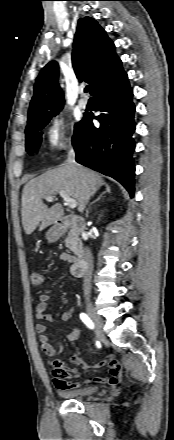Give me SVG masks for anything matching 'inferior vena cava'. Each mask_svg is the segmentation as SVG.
I'll return each instance as SVG.
<instances>
[{"instance_id":"inferior-vena-cava-1","label":"inferior vena cava","mask_w":174,"mask_h":440,"mask_svg":"<svg viewBox=\"0 0 174 440\" xmlns=\"http://www.w3.org/2000/svg\"><path fill=\"white\" fill-rule=\"evenodd\" d=\"M67 161H68V163H75V151L72 147L70 148V150L68 152ZM84 256H85V260L87 263V269L84 274L83 290H84V293L86 295H88L90 293V289H91L90 280H91V275H92V270H93V256H92L89 248H85Z\"/></svg>"}]
</instances>
